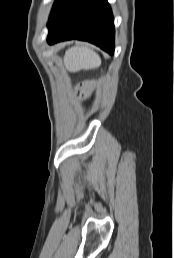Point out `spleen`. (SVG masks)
Segmentation results:
<instances>
[{
	"mask_svg": "<svg viewBox=\"0 0 174 258\" xmlns=\"http://www.w3.org/2000/svg\"><path fill=\"white\" fill-rule=\"evenodd\" d=\"M65 66L71 71L92 69L101 65L99 55L87 46L73 47L66 51Z\"/></svg>",
	"mask_w": 174,
	"mask_h": 258,
	"instance_id": "3e777b00",
	"label": "spleen"
}]
</instances>
